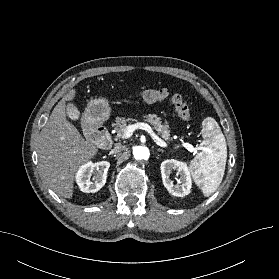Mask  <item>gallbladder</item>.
Masks as SVG:
<instances>
[{
  "label": "gallbladder",
  "mask_w": 279,
  "mask_h": 279,
  "mask_svg": "<svg viewBox=\"0 0 279 279\" xmlns=\"http://www.w3.org/2000/svg\"><path fill=\"white\" fill-rule=\"evenodd\" d=\"M68 105H69V106L67 107V110H66L68 117H69L71 120H73V121L78 120L79 117H80V112H79V110H78L77 107H76L74 104H72V103H69Z\"/></svg>",
  "instance_id": "bac80fb5"
}]
</instances>
